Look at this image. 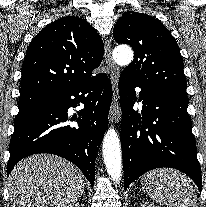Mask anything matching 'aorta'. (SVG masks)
<instances>
[{"mask_svg":"<svg viewBox=\"0 0 206 207\" xmlns=\"http://www.w3.org/2000/svg\"><path fill=\"white\" fill-rule=\"evenodd\" d=\"M118 65H128L133 60V51L128 46H118L113 51ZM103 158L108 174L119 182L122 174L120 140L114 128H109L103 139Z\"/></svg>","mask_w":206,"mask_h":207,"instance_id":"obj_1","label":"aorta"}]
</instances>
